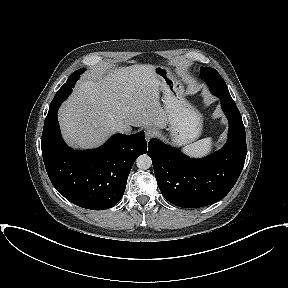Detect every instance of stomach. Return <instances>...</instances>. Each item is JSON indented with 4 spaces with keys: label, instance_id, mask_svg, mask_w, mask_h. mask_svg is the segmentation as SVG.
<instances>
[{
    "label": "stomach",
    "instance_id": "obj_1",
    "mask_svg": "<svg viewBox=\"0 0 288 288\" xmlns=\"http://www.w3.org/2000/svg\"><path fill=\"white\" fill-rule=\"evenodd\" d=\"M160 82L162 102L167 117V130L176 145L196 140L202 131V115L184 98V87L168 67L155 66Z\"/></svg>",
    "mask_w": 288,
    "mask_h": 288
}]
</instances>
